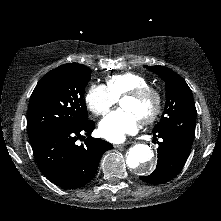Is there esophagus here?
Instances as JSON below:
<instances>
[{
  "instance_id": "esophagus-1",
  "label": "esophagus",
  "mask_w": 221,
  "mask_h": 221,
  "mask_svg": "<svg viewBox=\"0 0 221 221\" xmlns=\"http://www.w3.org/2000/svg\"><path fill=\"white\" fill-rule=\"evenodd\" d=\"M127 144H129V142H126V143H123V144H115L114 147L117 148V149H121L124 146H126Z\"/></svg>"
}]
</instances>
